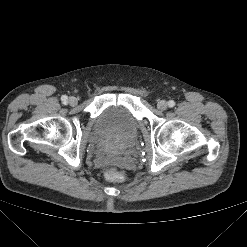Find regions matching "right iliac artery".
Listing matches in <instances>:
<instances>
[{
    "mask_svg": "<svg viewBox=\"0 0 247 247\" xmlns=\"http://www.w3.org/2000/svg\"><path fill=\"white\" fill-rule=\"evenodd\" d=\"M61 100H62L64 103H66V102H67V100H68V98H67V96H66V95H63V96L61 97Z\"/></svg>",
    "mask_w": 247,
    "mask_h": 247,
    "instance_id": "82829eb1",
    "label": "right iliac artery"
}]
</instances>
